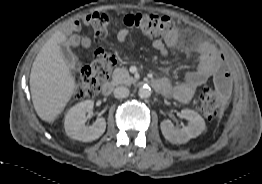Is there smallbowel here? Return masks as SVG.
Returning <instances> with one entry per match:
<instances>
[{
	"mask_svg": "<svg viewBox=\"0 0 262 184\" xmlns=\"http://www.w3.org/2000/svg\"><path fill=\"white\" fill-rule=\"evenodd\" d=\"M80 26L79 21H74L67 27L68 33L76 31ZM117 40L125 42L129 37L127 29H121L117 33ZM180 43L179 33L173 31L164 39H152L151 45L162 55H167L169 48H177ZM68 47H81L89 49L92 41L89 37H79L71 35L67 41ZM194 51L198 55L197 67L194 71L187 74L182 83L171 85L166 78H158L159 87L156 89L166 98H174L180 103H188L193 98L198 88L210 81H217L216 73L220 66L223 65V59L219 52L209 44L198 43L194 47Z\"/></svg>",
	"mask_w": 262,
	"mask_h": 184,
	"instance_id": "c3829d8e",
	"label": "small bowel"
}]
</instances>
